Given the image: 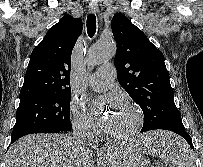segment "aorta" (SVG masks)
<instances>
[{"label":"aorta","mask_w":203,"mask_h":167,"mask_svg":"<svg viewBox=\"0 0 203 167\" xmlns=\"http://www.w3.org/2000/svg\"><path fill=\"white\" fill-rule=\"evenodd\" d=\"M116 44L112 39H101L88 51L85 64L88 67L102 64L115 56Z\"/></svg>","instance_id":"762f6f07"}]
</instances>
